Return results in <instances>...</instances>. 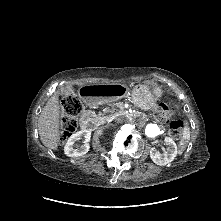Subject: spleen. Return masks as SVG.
I'll return each mask as SVG.
<instances>
[{"instance_id": "obj_1", "label": "spleen", "mask_w": 221, "mask_h": 221, "mask_svg": "<svg viewBox=\"0 0 221 221\" xmlns=\"http://www.w3.org/2000/svg\"><path fill=\"white\" fill-rule=\"evenodd\" d=\"M189 138H190V131H189V128H186L184 131L183 141H182L184 147L188 143Z\"/></svg>"}]
</instances>
